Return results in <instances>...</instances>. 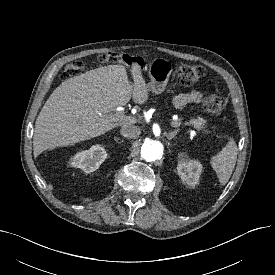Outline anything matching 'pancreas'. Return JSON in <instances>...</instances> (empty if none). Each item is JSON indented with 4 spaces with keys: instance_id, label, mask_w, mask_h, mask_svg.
<instances>
[{
    "instance_id": "cf45deb5",
    "label": "pancreas",
    "mask_w": 275,
    "mask_h": 275,
    "mask_svg": "<svg viewBox=\"0 0 275 275\" xmlns=\"http://www.w3.org/2000/svg\"><path fill=\"white\" fill-rule=\"evenodd\" d=\"M206 121L203 118L191 119L187 122L188 125L193 126L196 130L202 131L204 134H208L210 131L205 128Z\"/></svg>"
}]
</instances>
